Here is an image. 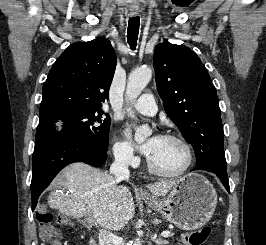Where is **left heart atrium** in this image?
Returning <instances> with one entry per match:
<instances>
[{
  "label": "left heart atrium",
  "instance_id": "1",
  "mask_svg": "<svg viewBox=\"0 0 266 245\" xmlns=\"http://www.w3.org/2000/svg\"><path fill=\"white\" fill-rule=\"evenodd\" d=\"M124 132L126 136L129 139L133 138L134 131L131 126H127L124 129ZM160 136L158 135H153L150 138H148L143 144L138 146L139 151L148 159L152 156L154 153L158 143H159Z\"/></svg>",
  "mask_w": 266,
  "mask_h": 245
}]
</instances>
